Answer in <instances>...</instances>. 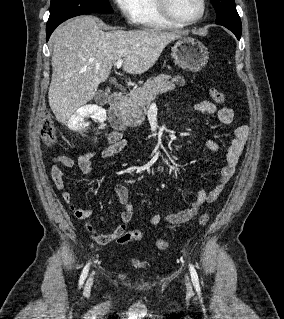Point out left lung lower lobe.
Masks as SVG:
<instances>
[{
	"instance_id": "obj_1",
	"label": "left lung lower lobe",
	"mask_w": 284,
	"mask_h": 319,
	"mask_svg": "<svg viewBox=\"0 0 284 319\" xmlns=\"http://www.w3.org/2000/svg\"><path fill=\"white\" fill-rule=\"evenodd\" d=\"M222 26H224V25H222ZM224 27H226L230 31H232L235 34V36L237 37L238 40L240 39L241 33H242V29H237V28L230 27V26H224Z\"/></svg>"
}]
</instances>
